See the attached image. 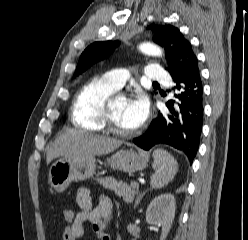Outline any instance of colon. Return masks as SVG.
Listing matches in <instances>:
<instances>
[{
	"label": "colon",
	"instance_id": "1",
	"mask_svg": "<svg viewBox=\"0 0 248 240\" xmlns=\"http://www.w3.org/2000/svg\"><path fill=\"white\" fill-rule=\"evenodd\" d=\"M75 210L71 207H66L63 209L62 211V216H63V220L66 224L70 223L74 216H75Z\"/></svg>",
	"mask_w": 248,
	"mask_h": 240
}]
</instances>
